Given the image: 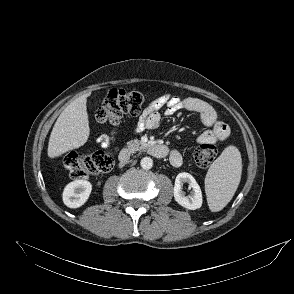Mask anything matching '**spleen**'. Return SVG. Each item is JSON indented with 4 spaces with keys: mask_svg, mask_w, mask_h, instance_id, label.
I'll list each match as a JSON object with an SVG mask.
<instances>
[{
    "mask_svg": "<svg viewBox=\"0 0 294 294\" xmlns=\"http://www.w3.org/2000/svg\"><path fill=\"white\" fill-rule=\"evenodd\" d=\"M241 172V154L235 146H228L206 174L205 190L211 211H220L230 202L240 183Z\"/></svg>",
    "mask_w": 294,
    "mask_h": 294,
    "instance_id": "spleen-1",
    "label": "spleen"
}]
</instances>
